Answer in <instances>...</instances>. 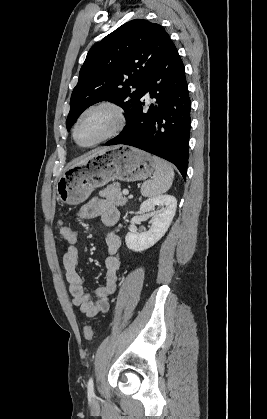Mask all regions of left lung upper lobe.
I'll return each instance as SVG.
<instances>
[{"label":"left lung upper lobe","instance_id":"obj_1","mask_svg":"<svg viewBox=\"0 0 267 419\" xmlns=\"http://www.w3.org/2000/svg\"><path fill=\"white\" fill-rule=\"evenodd\" d=\"M170 42L159 24L135 19L94 45L71 95L67 130L86 108L103 100L122 107L127 120L144 95L147 77L163 58Z\"/></svg>","mask_w":267,"mask_h":419}]
</instances>
